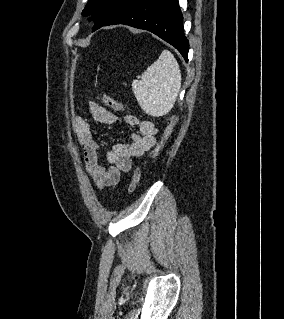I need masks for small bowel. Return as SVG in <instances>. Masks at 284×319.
Instances as JSON below:
<instances>
[{
    "mask_svg": "<svg viewBox=\"0 0 284 319\" xmlns=\"http://www.w3.org/2000/svg\"><path fill=\"white\" fill-rule=\"evenodd\" d=\"M88 110L95 121L113 125L123 121L129 126L137 127L138 132L131 135L130 143H117L105 153L108 166L101 163L100 146L95 141L91 125L83 117L74 119V131L78 143L84 151L85 170L97 189H114L120 182L122 174L130 172L133 158L140 157L151 150L157 141L158 129L149 120H141L129 114L120 119L117 115L89 102Z\"/></svg>",
    "mask_w": 284,
    "mask_h": 319,
    "instance_id": "obj_1",
    "label": "small bowel"
}]
</instances>
